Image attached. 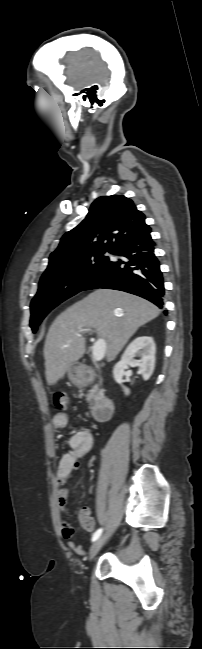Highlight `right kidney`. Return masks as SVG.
I'll list each match as a JSON object with an SVG mask.
<instances>
[{
    "label": "right kidney",
    "instance_id": "obj_1",
    "mask_svg": "<svg viewBox=\"0 0 202 649\" xmlns=\"http://www.w3.org/2000/svg\"><path fill=\"white\" fill-rule=\"evenodd\" d=\"M155 352L156 347L152 337L138 336L126 348L121 360L113 368V377L119 384L123 383V375L125 369L130 367H139V373L144 380H148L155 367ZM136 357H140L137 360ZM126 394H129V389L123 387Z\"/></svg>",
    "mask_w": 202,
    "mask_h": 649
}]
</instances>
